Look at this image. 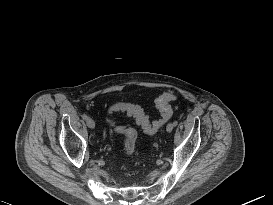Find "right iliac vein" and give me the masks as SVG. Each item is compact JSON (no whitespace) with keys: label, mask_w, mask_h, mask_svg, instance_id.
I'll list each match as a JSON object with an SVG mask.
<instances>
[{"label":"right iliac vein","mask_w":273,"mask_h":205,"mask_svg":"<svg viewBox=\"0 0 273 205\" xmlns=\"http://www.w3.org/2000/svg\"><path fill=\"white\" fill-rule=\"evenodd\" d=\"M86 124L90 129H94L95 128V122L92 118H88L86 120Z\"/></svg>","instance_id":"right-iliac-vein-1"}]
</instances>
